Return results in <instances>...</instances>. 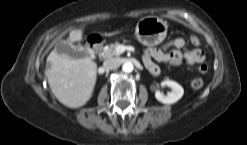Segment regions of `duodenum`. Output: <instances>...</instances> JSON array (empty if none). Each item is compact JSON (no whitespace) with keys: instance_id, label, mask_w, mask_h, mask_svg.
I'll return each mask as SVG.
<instances>
[{"instance_id":"1","label":"duodenum","mask_w":247,"mask_h":145,"mask_svg":"<svg viewBox=\"0 0 247 145\" xmlns=\"http://www.w3.org/2000/svg\"><path fill=\"white\" fill-rule=\"evenodd\" d=\"M102 39L98 36H93L88 40L87 51L91 55H96L101 46Z\"/></svg>"}]
</instances>
